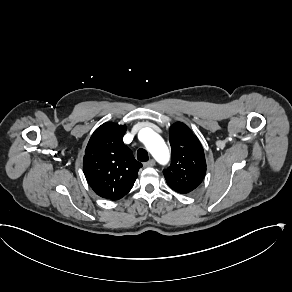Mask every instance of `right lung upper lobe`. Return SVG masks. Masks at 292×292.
Instances as JSON below:
<instances>
[{"label":"right lung upper lobe","mask_w":292,"mask_h":292,"mask_svg":"<svg viewBox=\"0 0 292 292\" xmlns=\"http://www.w3.org/2000/svg\"><path fill=\"white\" fill-rule=\"evenodd\" d=\"M126 126L107 122L92 134L83 158V171L93 191L118 200L133 187L142 164L123 143Z\"/></svg>","instance_id":"obj_1"}]
</instances>
